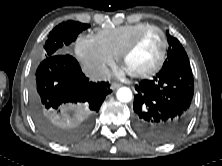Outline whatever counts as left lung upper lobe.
Segmentation results:
<instances>
[{"mask_svg":"<svg viewBox=\"0 0 222 166\" xmlns=\"http://www.w3.org/2000/svg\"><path fill=\"white\" fill-rule=\"evenodd\" d=\"M167 40L169 43L168 57L167 60H165L162 68L178 64L190 65L187 53L185 52L178 39L169 35L167 32Z\"/></svg>","mask_w":222,"mask_h":166,"instance_id":"obj_1","label":"left lung upper lobe"}]
</instances>
